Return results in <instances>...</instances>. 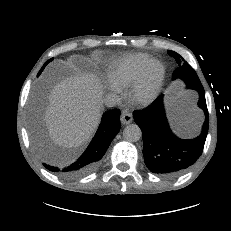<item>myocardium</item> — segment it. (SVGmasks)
I'll return each mask as SVG.
<instances>
[{
    "instance_id": "f54148a6",
    "label": "myocardium",
    "mask_w": 231,
    "mask_h": 231,
    "mask_svg": "<svg viewBox=\"0 0 231 231\" xmlns=\"http://www.w3.org/2000/svg\"><path fill=\"white\" fill-rule=\"evenodd\" d=\"M152 73L154 78L149 87ZM165 79V67L159 61L152 60L142 70L138 78L133 82L129 96L137 105L147 106L153 103L159 96Z\"/></svg>"
}]
</instances>
